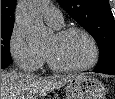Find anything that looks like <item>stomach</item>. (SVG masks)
<instances>
[{
	"instance_id": "stomach-1",
	"label": "stomach",
	"mask_w": 115,
	"mask_h": 99,
	"mask_svg": "<svg viewBox=\"0 0 115 99\" xmlns=\"http://www.w3.org/2000/svg\"><path fill=\"white\" fill-rule=\"evenodd\" d=\"M106 90L101 81L80 75L66 86L67 99H105Z\"/></svg>"
}]
</instances>
